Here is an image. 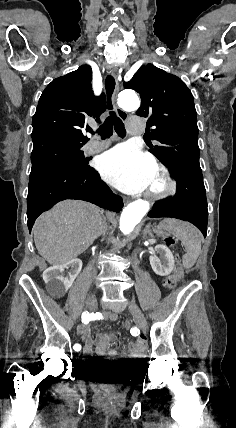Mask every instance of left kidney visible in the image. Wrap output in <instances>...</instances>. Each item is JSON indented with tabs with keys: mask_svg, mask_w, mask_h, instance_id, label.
I'll list each match as a JSON object with an SVG mask.
<instances>
[{
	"mask_svg": "<svg viewBox=\"0 0 236 428\" xmlns=\"http://www.w3.org/2000/svg\"><path fill=\"white\" fill-rule=\"evenodd\" d=\"M159 254L160 258H157ZM151 268L157 276H169L174 268V256L167 246H155L154 254L149 258Z\"/></svg>",
	"mask_w": 236,
	"mask_h": 428,
	"instance_id": "obj_1",
	"label": "left kidney"
}]
</instances>
